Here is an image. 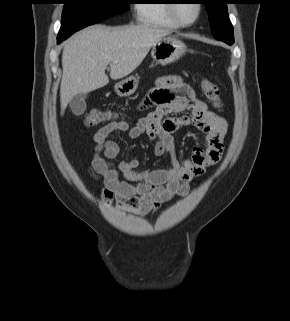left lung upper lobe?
Instances as JSON below:
<instances>
[{
    "label": "left lung upper lobe",
    "mask_w": 290,
    "mask_h": 321,
    "mask_svg": "<svg viewBox=\"0 0 290 321\" xmlns=\"http://www.w3.org/2000/svg\"><path fill=\"white\" fill-rule=\"evenodd\" d=\"M206 6L211 30L216 39H234L233 27L228 17V0H203Z\"/></svg>",
    "instance_id": "5c2ea615"
}]
</instances>
